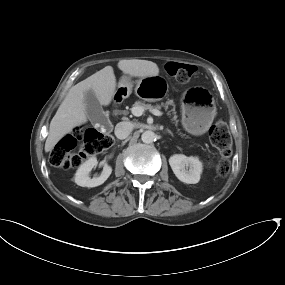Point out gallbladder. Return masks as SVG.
I'll return each instance as SVG.
<instances>
[{
    "instance_id": "bac80fb5",
    "label": "gallbladder",
    "mask_w": 285,
    "mask_h": 285,
    "mask_svg": "<svg viewBox=\"0 0 285 285\" xmlns=\"http://www.w3.org/2000/svg\"><path fill=\"white\" fill-rule=\"evenodd\" d=\"M85 104L86 113L90 120H92L94 123L103 125L109 124V119L106 116L102 105L100 104L95 92L91 89L85 93Z\"/></svg>"
}]
</instances>
